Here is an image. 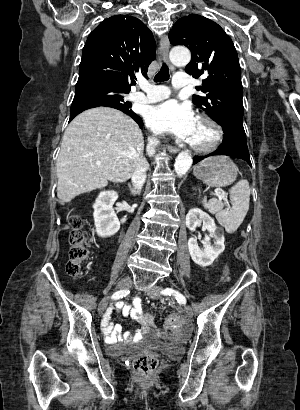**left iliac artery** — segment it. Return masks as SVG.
<instances>
[{
    "label": "left iliac artery",
    "mask_w": 300,
    "mask_h": 410,
    "mask_svg": "<svg viewBox=\"0 0 300 410\" xmlns=\"http://www.w3.org/2000/svg\"><path fill=\"white\" fill-rule=\"evenodd\" d=\"M160 293L163 294V295H169V296L173 295V296H175V298L177 299L178 302H181L183 304L186 303L185 297L181 293H179L178 291H176L172 288H165V289L161 290Z\"/></svg>",
    "instance_id": "obj_1"
}]
</instances>
